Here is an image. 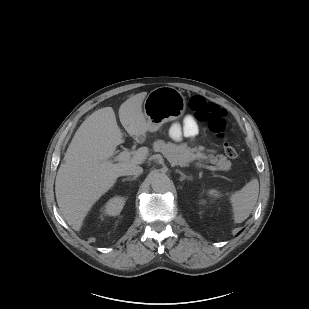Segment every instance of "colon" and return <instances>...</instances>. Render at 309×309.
<instances>
[{
  "mask_svg": "<svg viewBox=\"0 0 309 309\" xmlns=\"http://www.w3.org/2000/svg\"><path fill=\"white\" fill-rule=\"evenodd\" d=\"M189 107L198 121L206 123L217 136H224L227 116L225 109L198 95L190 99ZM224 152L227 157L232 159L237 158L239 154L234 145L228 141L224 142Z\"/></svg>",
  "mask_w": 309,
  "mask_h": 309,
  "instance_id": "5ec220e1",
  "label": "colon"
}]
</instances>
